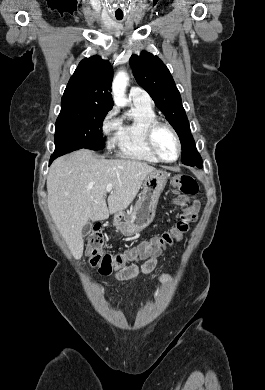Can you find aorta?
<instances>
[{
    "mask_svg": "<svg viewBox=\"0 0 265 390\" xmlns=\"http://www.w3.org/2000/svg\"><path fill=\"white\" fill-rule=\"evenodd\" d=\"M129 77L128 74L121 70L119 71L116 76L114 77L113 83H112V94L114 102L118 106H126L127 105V99L125 96L126 87L128 85Z\"/></svg>",
    "mask_w": 265,
    "mask_h": 390,
    "instance_id": "762f6f07",
    "label": "aorta"
}]
</instances>
